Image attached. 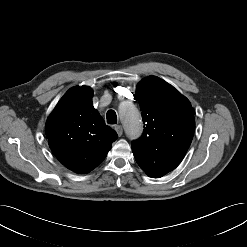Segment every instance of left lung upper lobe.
<instances>
[{
  "label": "left lung upper lobe",
  "instance_id": "left-lung-upper-lobe-1",
  "mask_svg": "<svg viewBox=\"0 0 247 247\" xmlns=\"http://www.w3.org/2000/svg\"><path fill=\"white\" fill-rule=\"evenodd\" d=\"M136 98L144 122L141 138L132 151L142 170L176 168L184 158L195 130L189 100L166 81L150 76L137 86Z\"/></svg>",
  "mask_w": 247,
  "mask_h": 247
}]
</instances>
